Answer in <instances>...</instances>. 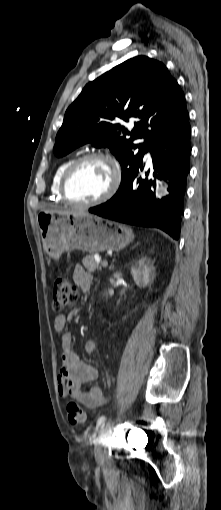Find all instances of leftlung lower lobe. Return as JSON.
Instances as JSON below:
<instances>
[{
    "label": "left lung lower lobe",
    "mask_w": 221,
    "mask_h": 510,
    "mask_svg": "<svg viewBox=\"0 0 221 510\" xmlns=\"http://www.w3.org/2000/svg\"><path fill=\"white\" fill-rule=\"evenodd\" d=\"M191 128L189 122L174 127L155 138L148 146L153 162V178H142L143 160L125 187L106 203L89 212L111 220L159 228L174 239L180 236L181 214L187 176ZM149 172L146 173L148 175ZM156 179L169 181V195L155 199Z\"/></svg>",
    "instance_id": "0a47b994"
}]
</instances>
